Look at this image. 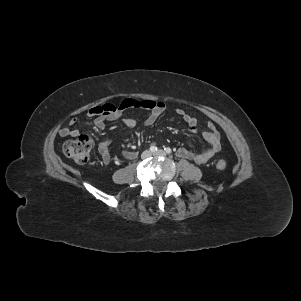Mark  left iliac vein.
<instances>
[{
	"instance_id": "1",
	"label": "left iliac vein",
	"mask_w": 301,
	"mask_h": 301,
	"mask_svg": "<svg viewBox=\"0 0 301 301\" xmlns=\"http://www.w3.org/2000/svg\"><path fill=\"white\" fill-rule=\"evenodd\" d=\"M153 155L165 157L166 156V152L163 151V150H159L158 152L154 153Z\"/></svg>"
}]
</instances>
